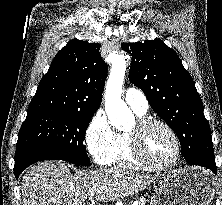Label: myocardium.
<instances>
[{
    "label": "myocardium",
    "mask_w": 222,
    "mask_h": 205,
    "mask_svg": "<svg viewBox=\"0 0 222 205\" xmlns=\"http://www.w3.org/2000/svg\"><path fill=\"white\" fill-rule=\"evenodd\" d=\"M155 125L164 128L174 141L175 153L173 158L167 163H157L153 161L147 156L143 147V136L145 131ZM128 135L134 157L149 168L155 170H168L173 168L180 160L181 144L178 135L175 130L163 120L149 117L141 118L136 122L134 128L128 132Z\"/></svg>",
    "instance_id": "1"
}]
</instances>
